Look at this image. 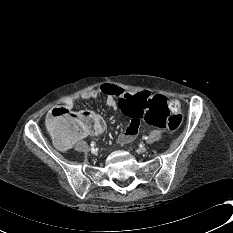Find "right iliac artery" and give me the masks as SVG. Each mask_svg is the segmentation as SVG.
<instances>
[{
	"instance_id": "obj_1",
	"label": "right iliac artery",
	"mask_w": 233,
	"mask_h": 233,
	"mask_svg": "<svg viewBox=\"0 0 233 233\" xmlns=\"http://www.w3.org/2000/svg\"><path fill=\"white\" fill-rule=\"evenodd\" d=\"M91 146H92V149H94L95 143L92 142V143H91Z\"/></svg>"
}]
</instances>
